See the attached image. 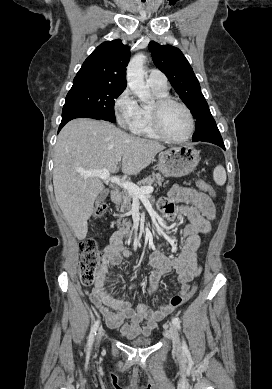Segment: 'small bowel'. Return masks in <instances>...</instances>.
I'll return each mask as SVG.
<instances>
[{
    "mask_svg": "<svg viewBox=\"0 0 272 389\" xmlns=\"http://www.w3.org/2000/svg\"><path fill=\"white\" fill-rule=\"evenodd\" d=\"M164 221L173 222L184 217L188 223L182 229V245L176 257H167L158 250L152 252L149 264L153 267L150 278L149 294H154L161 279L171 271L177 275L181 293L187 292L190 282L201 273L197 251L200 245V234L211 231V222L215 218V208L211 199L191 188L174 185L167 197L158 202ZM167 243L173 246L172 240ZM130 251L117 234L105 248L101 266L94 287L88 292L92 303L104 315L106 324L111 329H119L120 334L128 339L137 336H149L157 323L174 309L169 304L161 303L154 308L145 304L133 305L127 297L116 298L106 289L105 283L111 268L125 262ZM132 288L140 287L138 282L130 284Z\"/></svg>",
    "mask_w": 272,
    "mask_h": 389,
    "instance_id": "obj_1",
    "label": "small bowel"
}]
</instances>
